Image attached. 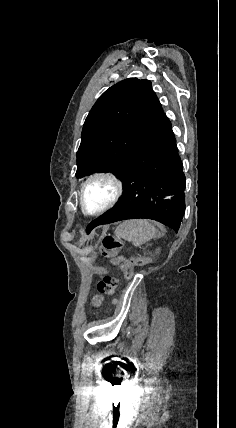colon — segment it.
<instances>
[{
  "label": "colon",
  "instance_id": "5ec220e1",
  "mask_svg": "<svg viewBox=\"0 0 236 428\" xmlns=\"http://www.w3.org/2000/svg\"><path fill=\"white\" fill-rule=\"evenodd\" d=\"M122 243L111 235L104 236L101 244V252L104 256L112 258L115 265L119 266L125 278L129 279L132 276L131 267L123 262V259L117 256ZM119 280L113 275L104 276L96 285L97 291L102 295H111L118 286Z\"/></svg>",
  "mask_w": 236,
  "mask_h": 428
}]
</instances>
